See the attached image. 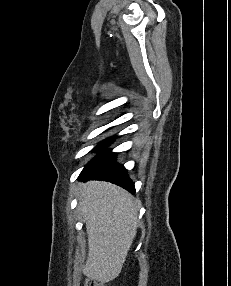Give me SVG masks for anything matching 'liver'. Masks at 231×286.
I'll list each match as a JSON object with an SVG mask.
<instances>
[{
	"label": "liver",
	"mask_w": 231,
	"mask_h": 286,
	"mask_svg": "<svg viewBox=\"0 0 231 286\" xmlns=\"http://www.w3.org/2000/svg\"><path fill=\"white\" fill-rule=\"evenodd\" d=\"M79 197L88 235L83 273L104 284L121 273L137 233L139 204L126 190L108 182L82 184Z\"/></svg>",
	"instance_id": "6515ba94"
}]
</instances>
